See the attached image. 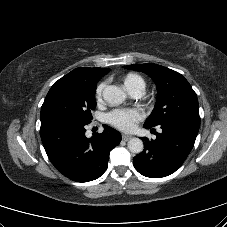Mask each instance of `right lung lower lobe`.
<instances>
[{"instance_id": "1", "label": "right lung lower lobe", "mask_w": 227, "mask_h": 227, "mask_svg": "<svg viewBox=\"0 0 227 227\" xmlns=\"http://www.w3.org/2000/svg\"><path fill=\"white\" fill-rule=\"evenodd\" d=\"M85 125L67 120L41 124L40 136L51 163L67 178L88 182L107 169L109 153L121 141V134L104 125V131L85 136Z\"/></svg>"}]
</instances>
